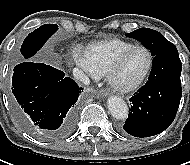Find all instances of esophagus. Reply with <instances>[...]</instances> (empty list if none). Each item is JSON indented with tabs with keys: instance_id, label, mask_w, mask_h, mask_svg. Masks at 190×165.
Listing matches in <instances>:
<instances>
[{
	"instance_id": "obj_1",
	"label": "esophagus",
	"mask_w": 190,
	"mask_h": 165,
	"mask_svg": "<svg viewBox=\"0 0 190 165\" xmlns=\"http://www.w3.org/2000/svg\"><path fill=\"white\" fill-rule=\"evenodd\" d=\"M109 93H110V91H109L108 89H101V90L99 91V95L102 96V97L108 96Z\"/></svg>"
}]
</instances>
